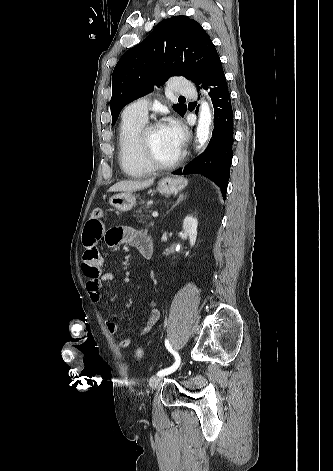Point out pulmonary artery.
<instances>
[{"label":"pulmonary artery","instance_id":"pulmonary-artery-1","mask_svg":"<svg viewBox=\"0 0 333 471\" xmlns=\"http://www.w3.org/2000/svg\"><path fill=\"white\" fill-rule=\"evenodd\" d=\"M172 90L181 95L192 96L195 93L193 85L182 77L172 80ZM148 115V102L145 99H139L128 105L124 110V116L137 118L146 121Z\"/></svg>","mask_w":333,"mask_h":471}]
</instances>
